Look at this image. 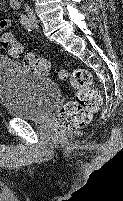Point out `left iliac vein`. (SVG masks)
Returning a JSON list of instances; mask_svg holds the SVG:
<instances>
[{
    "label": "left iliac vein",
    "instance_id": "4c4485c4",
    "mask_svg": "<svg viewBox=\"0 0 123 201\" xmlns=\"http://www.w3.org/2000/svg\"><path fill=\"white\" fill-rule=\"evenodd\" d=\"M29 22H30L31 28H37L38 27L37 19H36V16L33 12L29 13Z\"/></svg>",
    "mask_w": 123,
    "mask_h": 201
}]
</instances>
